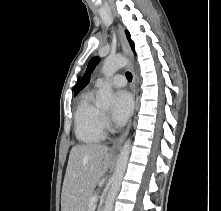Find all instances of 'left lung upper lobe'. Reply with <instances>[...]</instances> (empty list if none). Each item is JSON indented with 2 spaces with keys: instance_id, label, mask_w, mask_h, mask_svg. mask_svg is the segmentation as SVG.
Wrapping results in <instances>:
<instances>
[{
  "instance_id": "left-lung-upper-lobe-1",
  "label": "left lung upper lobe",
  "mask_w": 221,
  "mask_h": 211,
  "mask_svg": "<svg viewBox=\"0 0 221 211\" xmlns=\"http://www.w3.org/2000/svg\"><path fill=\"white\" fill-rule=\"evenodd\" d=\"M125 32H126V35H127L128 40H129V42H130V45H131L132 49L134 50V44H133V42L130 40V34H129L128 31H125ZM98 62H99V58H98V57H94V58H92V59L90 60V62H89V64H88V67H87V70H86V73H85V75L83 76V78H82L80 84L78 85V87H77L76 90H75V95H77V93L87 85V83H88L89 80H90V75H91L92 71L94 70V68H95V66L97 65Z\"/></svg>"
}]
</instances>
